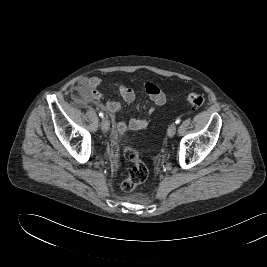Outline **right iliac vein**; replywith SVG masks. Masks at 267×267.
<instances>
[{
	"label": "right iliac vein",
	"instance_id": "63e3f726",
	"mask_svg": "<svg viewBox=\"0 0 267 267\" xmlns=\"http://www.w3.org/2000/svg\"><path fill=\"white\" fill-rule=\"evenodd\" d=\"M109 128H110V122L106 117H104L101 121V129L103 132H106L108 131Z\"/></svg>",
	"mask_w": 267,
	"mask_h": 267
}]
</instances>
